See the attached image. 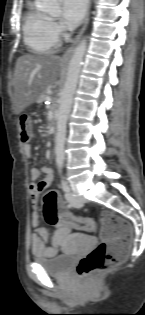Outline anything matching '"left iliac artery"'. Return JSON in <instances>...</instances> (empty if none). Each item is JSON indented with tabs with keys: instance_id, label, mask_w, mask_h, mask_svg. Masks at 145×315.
I'll use <instances>...</instances> for the list:
<instances>
[{
	"instance_id": "obj_1",
	"label": "left iliac artery",
	"mask_w": 145,
	"mask_h": 315,
	"mask_svg": "<svg viewBox=\"0 0 145 315\" xmlns=\"http://www.w3.org/2000/svg\"><path fill=\"white\" fill-rule=\"evenodd\" d=\"M61 187L62 189L65 191V192H69L70 191V188L66 182V180L64 179V177L62 176L61 177Z\"/></svg>"
}]
</instances>
